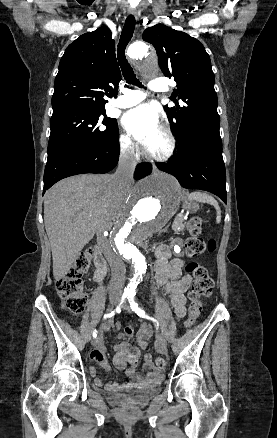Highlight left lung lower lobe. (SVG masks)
<instances>
[{"mask_svg": "<svg viewBox=\"0 0 277 438\" xmlns=\"http://www.w3.org/2000/svg\"><path fill=\"white\" fill-rule=\"evenodd\" d=\"M156 166L175 176L182 187L206 190L227 202L219 120L208 118L202 122L188 144L178 150L177 157L167 163L157 162Z\"/></svg>", "mask_w": 277, "mask_h": 438, "instance_id": "0a47b994", "label": "left lung lower lobe"}]
</instances>
